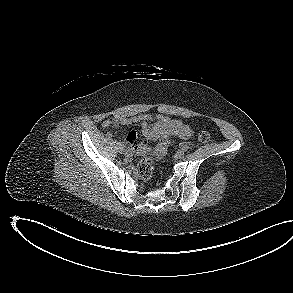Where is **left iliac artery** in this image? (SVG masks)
I'll return each mask as SVG.
<instances>
[{"mask_svg":"<svg viewBox=\"0 0 293 293\" xmlns=\"http://www.w3.org/2000/svg\"><path fill=\"white\" fill-rule=\"evenodd\" d=\"M180 149H181L182 151H187V150H188V146H187L185 143H181V144H180Z\"/></svg>","mask_w":293,"mask_h":293,"instance_id":"left-iliac-artery-1","label":"left iliac artery"}]
</instances>
